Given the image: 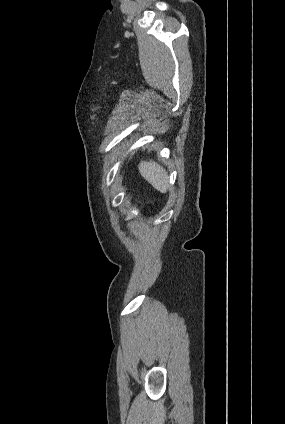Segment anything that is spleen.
I'll list each match as a JSON object with an SVG mask.
<instances>
[{"instance_id": "3e777b00", "label": "spleen", "mask_w": 285, "mask_h": 424, "mask_svg": "<svg viewBox=\"0 0 285 424\" xmlns=\"http://www.w3.org/2000/svg\"><path fill=\"white\" fill-rule=\"evenodd\" d=\"M139 172L156 190L166 193L169 189L168 174L163 167L153 160L149 162L141 161L138 165Z\"/></svg>"}]
</instances>
